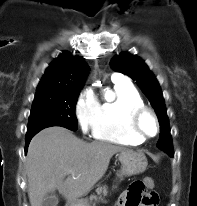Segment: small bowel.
Returning a JSON list of instances; mask_svg holds the SVG:
<instances>
[{
    "label": "small bowel",
    "instance_id": "c3829d8e",
    "mask_svg": "<svg viewBox=\"0 0 197 206\" xmlns=\"http://www.w3.org/2000/svg\"><path fill=\"white\" fill-rule=\"evenodd\" d=\"M128 190L125 191L117 202V206H129L127 201ZM156 203H150L148 206H156Z\"/></svg>",
    "mask_w": 197,
    "mask_h": 206
}]
</instances>
